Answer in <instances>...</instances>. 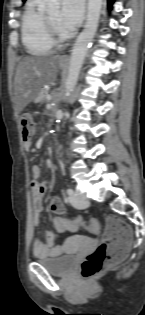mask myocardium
I'll return each mask as SVG.
<instances>
[{
	"label": "myocardium",
	"instance_id": "f54148a6",
	"mask_svg": "<svg viewBox=\"0 0 145 315\" xmlns=\"http://www.w3.org/2000/svg\"><path fill=\"white\" fill-rule=\"evenodd\" d=\"M45 27L50 40L55 45L65 42L69 37V34L66 31L62 32L59 30V28L51 21L47 14H45Z\"/></svg>",
	"mask_w": 145,
	"mask_h": 315
}]
</instances>
